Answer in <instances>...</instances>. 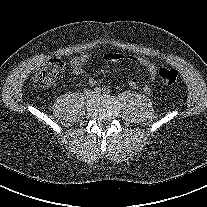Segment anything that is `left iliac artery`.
Here are the masks:
<instances>
[{
  "label": "left iliac artery",
  "instance_id": "1",
  "mask_svg": "<svg viewBox=\"0 0 207 207\" xmlns=\"http://www.w3.org/2000/svg\"><path fill=\"white\" fill-rule=\"evenodd\" d=\"M103 92H104L105 94H109V93H110V89L106 87V88H104Z\"/></svg>",
  "mask_w": 207,
  "mask_h": 207
}]
</instances>
